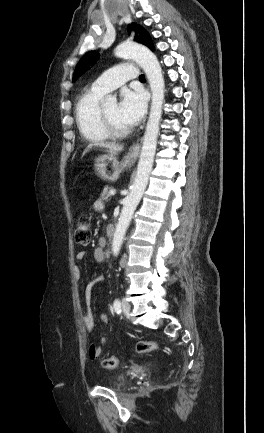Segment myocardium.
Returning a JSON list of instances; mask_svg holds the SVG:
<instances>
[{
    "label": "myocardium",
    "instance_id": "myocardium-1",
    "mask_svg": "<svg viewBox=\"0 0 264 433\" xmlns=\"http://www.w3.org/2000/svg\"><path fill=\"white\" fill-rule=\"evenodd\" d=\"M100 116L105 130L108 132V134L111 137L123 138L128 136L132 132L131 128H127V129L118 128L108 116L104 106L100 107Z\"/></svg>",
    "mask_w": 264,
    "mask_h": 433
}]
</instances>
